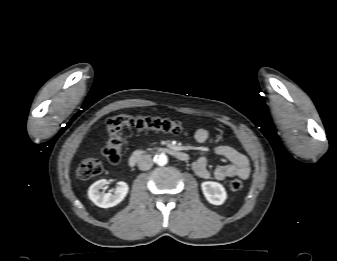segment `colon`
I'll return each mask as SVG.
<instances>
[{
    "label": "colon",
    "mask_w": 337,
    "mask_h": 261,
    "mask_svg": "<svg viewBox=\"0 0 337 261\" xmlns=\"http://www.w3.org/2000/svg\"><path fill=\"white\" fill-rule=\"evenodd\" d=\"M124 127L152 129L173 134L187 132L186 126L178 121L128 114L113 116L106 123L108 140L103 148V155L110 163H118L121 160L122 141L119 132ZM102 170L103 167L100 160L94 157H85L79 162L76 174L79 179L88 180L101 174ZM228 187L232 191H239L242 189L243 183L238 179H233L229 181Z\"/></svg>",
    "instance_id": "obj_1"
}]
</instances>
